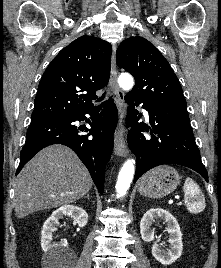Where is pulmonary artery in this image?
Listing matches in <instances>:
<instances>
[{
  "label": "pulmonary artery",
  "instance_id": "1",
  "mask_svg": "<svg viewBox=\"0 0 221 268\" xmlns=\"http://www.w3.org/2000/svg\"><path fill=\"white\" fill-rule=\"evenodd\" d=\"M143 112L146 116H148V112L145 109H143Z\"/></svg>",
  "mask_w": 221,
  "mask_h": 268
}]
</instances>
